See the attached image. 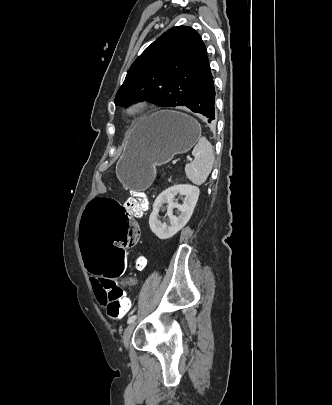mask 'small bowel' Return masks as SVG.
Wrapping results in <instances>:
<instances>
[{
	"mask_svg": "<svg viewBox=\"0 0 332 405\" xmlns=\"http://www.w3.org/2000/svg\"><path fill=\"white\" fill-rule=\"evenodd\" d=\"M133 216H134V219H133V220H136V219H135L136 214H133ZM137 227H139L138 222H137ZM139 237H140V236H139ZM107 276H110V275H107ZM135 283H136L135 278L130 277V278L128 279V284L134 285ZM93 286H94L95 295H96L98 301H99L101 304L104 305V294H103V293L99 290V288H98L97 279H93Z\"/></svg>",
	"mask_w": 332,
	"mask_h": 405,
	"instance_id": "small-bowel-1",
	"label": "small bowel"
}]
</instances>
